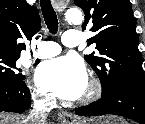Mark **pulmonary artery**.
Returning a JSON list of instances; mask_svg holds the SVG:
<instances>
[{"label":"pulmonary artery","instance_id":"1","mask_svg":"<svg viewBox=\"0 0 145 124\" xmlns=\"http://www.w3.org/2000/svg\"><path fill=\"white\" fill-rule=\"evenodd\" d=\"M81 40V34L77 30H68L64 33L62 43L66 47H76ZM61 52V47L56 42L43 41L39 43L36 57L39 58H50L58 55Z\"/></svg>","mask_w":145,"mask_h":124}]
</instances>
